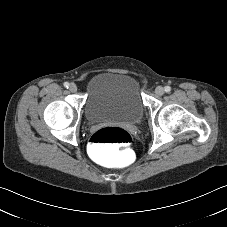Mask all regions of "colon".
<instances>
[{
  "mask_svg": "<svg viewBox=\"0 0 227 227\" xmlns=\"http://www.w3.org/2000/svg\"><path fill=\"white\" fill-rule=\"evenodd\" d=\"M131 141V135L127 130L120 127H107L97 131L91 137L90 151L104 165L122 163Z\"/></svg>",
  "mask_w": 227,
  "mask_h": 227,
  "instance_id": "1",
  "label": "colon"
}]
</instances>
